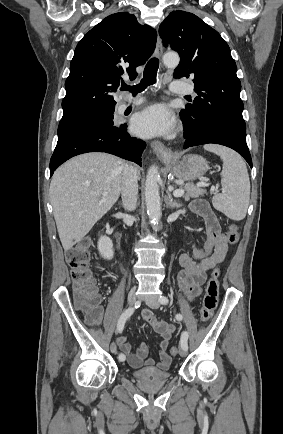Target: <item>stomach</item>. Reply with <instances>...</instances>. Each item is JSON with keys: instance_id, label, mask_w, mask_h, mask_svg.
Listing matches in <instances>:
<instances>
[{"instance_id": "0dacf381", "label": "stomach", "mask_w": 283, "mask_h": 434, "mask_svg": "<svg viewBox=\"0 0 283 434\" xmlns=\"http://www.w3.org/2000/svg\"><path fill=\"white\" fill-rule=\"evenodd\" d=\"M165 163L171 167L175 177L188 182L203 176L208 170V162L199 155H186L181 160H166Z\"/></svg>"}]
</instances>
